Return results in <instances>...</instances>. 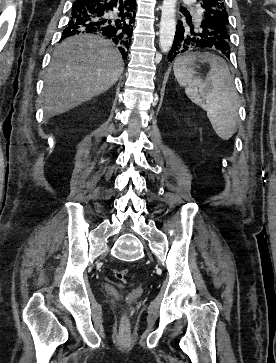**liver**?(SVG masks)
I'll list each match as a JSON object with an SVG mask.
<instances>
[{
	"label": "liver",
	"mask_w": 276,
	"mask_h": 363,
	"mask_svg": "<svg viewBox=\"0 0 276 363\" xmlns=\"http://www.w3.org/2000/svg\"><path fill=\"white\" fill-rule=\"evenodd\" d=\"M122 72V57L112 42L88 34L64 40L55 49L44 78L46 117L62 114L104 93Z\"/></svg>",
	"instance_id": "6515ba94"
}]
</instances>
